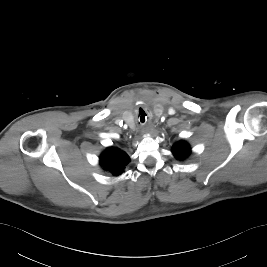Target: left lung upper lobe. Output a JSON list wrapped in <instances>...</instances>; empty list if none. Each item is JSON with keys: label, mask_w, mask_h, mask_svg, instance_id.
<instances>
[{"label": "left lung upper lobe", "mask_w": 267, "mask_h": 267, "mask_svg": "<svg viewBox=\"0 0 267 267\" xmlns=\"http://www.w3.org/2000/svg\"><path fill=\"white\" fill-rule=\"evenodd\" d=\"M172 153L178 160H184L191 153V148L187 142L179 141L173 145Z\"/></svg>", "instance_id": "5c2ea615"}]
</instances>
